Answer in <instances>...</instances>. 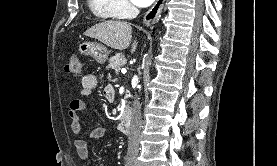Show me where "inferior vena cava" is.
Here are the masks:
<instances>
[{"label": "inferior vena cava", "instance_id": "obj_1", "mask_svg": "<svg viewBox=\"0 0 277 166\" xmlns=\"http://www.w3.org/2000/svg\"><path fill=\"white\" fill-rule=\"evenodd\" d=\"M140 130H141V105L136 95V98L133 103V120L131 124L130 134L128 137V150H127L128 158L136 157L138 155Z\"/></svg>", "mask_w": 277, "mask_h": 166}]
</instances>
